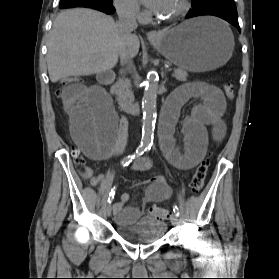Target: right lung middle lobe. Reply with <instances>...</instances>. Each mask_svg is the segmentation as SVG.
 <instances>
[{
  "label": "right lung middle lobe",
  "instance_id": "right-lung-middle-lobe-1",
  "mask_svg": "<svg viewBox=\"0 0 279 279\" xmlns=\"http://www.w3.org/2000/svg\"><path fill=\"white\" fill-rule=\"evenodd\" d=\"M103 1L107 3H112V0H103Z\"/></svg>",
  "mask_w": 279,
  "mask_h": 279
}]
</instances>
